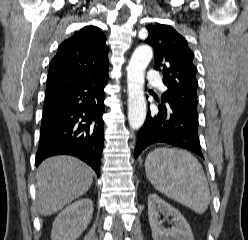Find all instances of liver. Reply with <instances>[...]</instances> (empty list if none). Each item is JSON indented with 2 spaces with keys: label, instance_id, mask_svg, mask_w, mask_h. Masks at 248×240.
<instances>
[{
  "label": "liver",
  "instance_id": "6515ba94",
  "mask_svg": "<svg viewBox=\"0 0 248 240\" xmlns=\"http://www.w3.org/2000/svg\"><path fill=\"white\" fill-rule=\"evenodd\" d=\"M37 205L41 215H52L85 194L93 181V171L71 156H55L43 161L36 172Z\"/></svg>",
  "mask_w": 248,
  "mask_h": 240
}]
</instances>
